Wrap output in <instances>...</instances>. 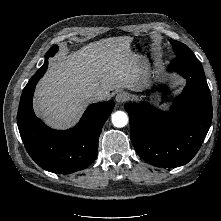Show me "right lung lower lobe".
<instances>
[{
	"instance_id": "obj_1",
	"label": "right lung lower lobe",
	"mask_w": 221,
	"mask_h": 221,
	"mask_svg": "<svg viewBox=\"0 0 221 221\" xmlns=\"http://www.w3.org/2000/svg\"><path fill=\"white\" fill-rule=\"evenodd\" d=\"M47 65H43L24 88L17 124L29 155L40 167L53 173H73L88 167L95 160L98 138L114 102L90 105L72 129L57 131L47 127L36 118L32 109L35 86Z\"/></svg>"
}]
</instances>
